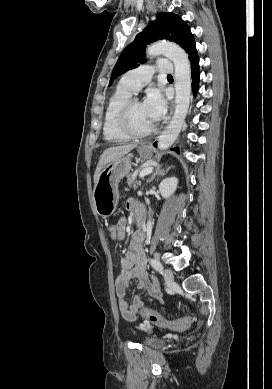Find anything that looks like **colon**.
Masks as SVG:
<instances>
[{"label":"colon","mask_w":272,"mask_h":389,"mask_svg":"<svg viewBox=\"0 0 272 389\" xmlns=\"http://www.w3.org/2000/svg\"><path fill=\"white\" fill-rule=\"evenodd\" d=\"M109 235L112 239L116 240L119 234L117 225H111L108 228ZM143 314L148 322L151 324L160 327L165 328L173 331H182L188 328V326L191 323L190 317H184L177 320H168L155 312L151 308H144Z\"/></svg>","instance_id":"obj_1"}]
</instances>
